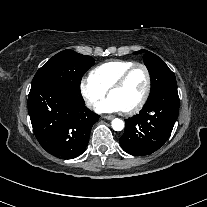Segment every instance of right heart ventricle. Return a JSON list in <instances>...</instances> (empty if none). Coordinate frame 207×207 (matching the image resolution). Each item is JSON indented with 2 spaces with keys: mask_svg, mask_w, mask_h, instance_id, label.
Here are the masks:
<instances>
[{
  "mask_svg": "<svg viewBox=\"0 0 207 207\" xmlns=\"http://www.w3.org/2000/svg\"><path fill=\"white\" fill-rule=\"evenodd\" d=\"M133 64L134 62L127 60H109L95 67L90 76L108 90L114 81Z\"/></svg>",
  "mask_w": 207,
  "mask_h": 207,
  "instance_id": "obj_1",
  "label": "right heart ventricle"
}]
</instances>
